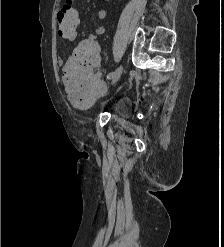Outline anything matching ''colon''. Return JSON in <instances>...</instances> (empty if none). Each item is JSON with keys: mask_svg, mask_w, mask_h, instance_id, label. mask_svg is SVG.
I'll return each instance as SVG.
<instances>
[{"mask_svg": "<svg viewBox=\"0 0 224 247\" xmlns=\"http://www.w3.org/2000/svg\"><path fill=\"white\" fill-rule=\"evenodd\" d=\"M59 34L69 38L77 32L79 17L68 1L57 14ZM98 45L85 41L74 51L63 71V81L69 90V98L78 107H89L102 91L104 82Z\"/></svg>", "mask_w": 224, "mask_h": 247, "instance_id": "colon-1", "label": "colon"}]
</instances>
